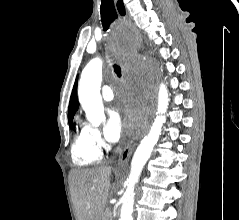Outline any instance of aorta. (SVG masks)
Wrapping results in <instances>:
<instances>
[{
  "mask_svg": "<svg viewBox=\"0 0 239 220\" xmlns=\"http://www.w3.org/2000/svg\"><path fill=\"white\" fill-rule=\"evenodd\" d=\"M114 40H136V33H115ZM136 46V45H115ZM102 82V61L99 58L91 60L84 68L78 87V98L93 126H99L105 119L100 86ZM168 109V91L161 83L158 92L157 116L147 135L141 140L132 161L129 177L126 180L127 189L121 198V213L119 220H133L135 185L138 183L142 170L150 158L159 140L162 126L165 123V113Z\"/></svg>",
  "mask_w": 239,
  "mask_h": 220,
  "instance_id": "762f6f07",
  "label": "aorta"
}]
</instances>
